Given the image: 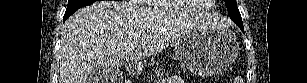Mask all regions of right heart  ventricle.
<instances>
[{
    "label": "right heart ventricle",
    "instance_id": "obj_1",
    "mask_svg": "<svg viewBox=\"0 0 307 83\" xmlns=\"http://www.w3.org/2000/svg\"><path fill=\"white\" fill-rule=\"evenodd\" d=\"M150 7L155 10H160V11H173L175 10L174 6L172 5V2L166 1V0H159V1H151L150 2ZM206 7H209L206 5Z\"/></svg>",
    "mask_w": 307,
    "mask_h": 83
}]
</instances>
